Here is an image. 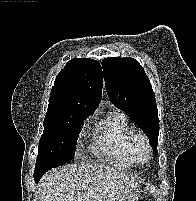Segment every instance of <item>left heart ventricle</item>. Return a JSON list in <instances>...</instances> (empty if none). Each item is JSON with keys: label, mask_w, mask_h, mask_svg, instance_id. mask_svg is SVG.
<instances>
[{"label": "left heart ventricle", "mask_w": 196, "mask_h": 201, "mask_svg": "<svg viewBox=\"0 0 196 201\" xmlns=\"http://www.w3.org/2000/svg\"><path fill=\"white\" fill-rule=\"evenodd\" d=\"M137 155H138V158L141 160L145 158V151H144L143 146H141V145L137 146Z\"/></svg>", "instance_id": "1"}]
</instances>
